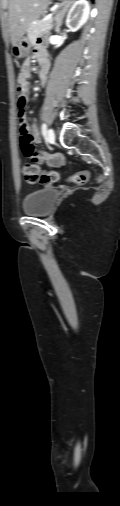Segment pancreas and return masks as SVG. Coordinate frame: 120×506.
<instances>
[{
    "instance_id": "obj_1",
    "label": "pancreas",
    "mask_w": 120,
    "mask_h": 506,
    "mask_svg": "<svg viewBox=\"0 0 120 506\" xmlns=\"http://www.w3.org/2000/svg\"><path fill=\"white\" fill-rule=\"evenodd\" d=\"M50 28H51V21L43 22L40 20L35 24L31 23L27 29L28 38H29L31 44H34L36 42V39L39 37V35L47 32Z\"/></svg>"
}]
</instances>
